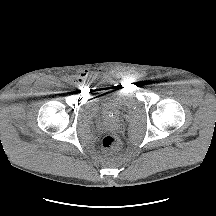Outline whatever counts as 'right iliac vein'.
Here are the masks:
<instances>
[{"label": "right iliac vein", "mask_w": 216, "mask_h": 216, "mask_svg": "<svg viewBox=\"0 0 216 216\" xmlns=\"http://www.w3.org/2000/svg\"><path fill=\"white\" fill-rule=\"evenodd\" d=\"M68 85H69L70 88H73L74 90L77 88V87L73 84L72 81H69Z\"/></svg>", "instance_id": "63e3f726"}]
</instances>
